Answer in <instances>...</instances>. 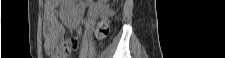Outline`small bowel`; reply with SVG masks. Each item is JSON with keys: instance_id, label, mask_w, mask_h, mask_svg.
Returning a JSON list of instances; mask_svg holds the SVG:
<instances>
[{"instance_id": "1", "label": "small bowel", "mask_w": 225, "mask_h": 58, "mask_svg": "<svg viewBox=\"0 0 225 58\" xmlns=\"http://www.w3.org/2000/svg\"><path fill=\"white\" fill-rule=\"evenodd\" d=\"M65 2L47 1L44 9V49L51 56H61L64 45L65 25L56 15V10Z\"/></svg>"}]
</instances>
